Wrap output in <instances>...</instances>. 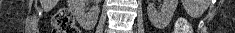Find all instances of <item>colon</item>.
I'll return each instance as SVG.
<instances>
[{
    "label": "colon",
    "mask_w": 235,
    "mask_h": 33,
    "mask_svg": "<svg viewBox=\"0 0 235 33\" xmlns=\"http://www.w3.org/2000/svg\"><path fill=\"white\" fill-rule=\"evenodd\" d=\"M53 33H79L74 17L67 8L57 11L53 17ZM177 33H189L190 27L185 20H179L176 25Z\"/></svg>",
    "instance_id": "colon-1"
}]
</instances>
